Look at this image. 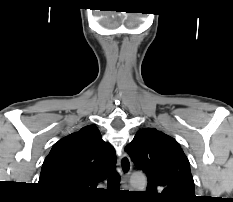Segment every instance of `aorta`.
Segmentation results:
<instances>
[{"label": "aorta", "mask_w": 233, "mask_h": 202, "mask_svg": "<svg viewBox=\"0 0 233 202\" xmlns=\"http://www.w3.org/2000/svg\"><path fill=\"white\" fill-rule=\"evenodd\" d=\"M131 184L135 188L144 189L147 185V180L143 175H134L131 178Z\"/></svg>", "instance_id": "obj_1"}]
</instances>
